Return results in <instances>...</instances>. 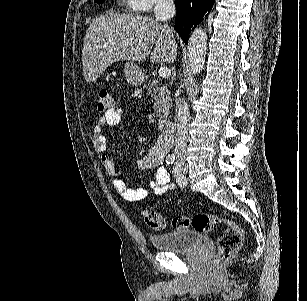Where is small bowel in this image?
Wrapping results in <instances>:
<instances>
[{"mask_svg":"<svg viewBox=\"0 0 307 301\" xmlns=\"http://www.w3.org/2000/svg\"><path fill=\"white\" fill-rule=\"evenodd\" d=\"M123 118L124 110L118 106H112L99 118L92 131V141L98 151L104 152L107 148V140L104 134L105 127L116 126L122 122ZM169 148L170 142L168 138L162 137L138 161L140 168L155 170L148 187L139 189L129 188L121 179L120 168L107 155H102L104 167L107 173L113 178V185L123 199L136 202L146 198L149 192L155 195H162L169 190L176 189L174 184L169 183V174L162 165Z\"/></svg>","mask_w":307,"mask_h":301,"instance_id":"1","label":"small bowel"}]
</instances>
